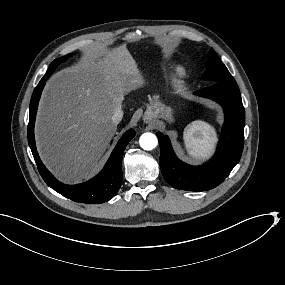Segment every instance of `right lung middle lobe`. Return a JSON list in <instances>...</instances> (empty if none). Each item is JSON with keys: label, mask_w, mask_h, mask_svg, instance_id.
Segmentation results:
<instances>
[{"label": "right lung middle lobe", "mask_w": 285, "mask_h": 285, "mask_svg": "<svg viewBox=\"0 0 285 285\" xmlns=\"http://www.w3.org/2000/svg\"><path fill=\"white\" fill-rule=\"evenodd\" d=\"M72 54L63 56L61 58L55 59L49 66L48 71L46 72V74L43 76V78L41 79L42 81L47 80L50 75L53 73V71L55 70V68L61 63L64 62L65 60H67L69 57H71Z\"/></svg>", "instance_id": "dd1d6c3e"}]
</instances>
